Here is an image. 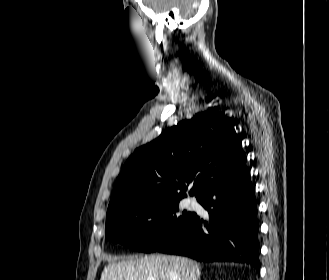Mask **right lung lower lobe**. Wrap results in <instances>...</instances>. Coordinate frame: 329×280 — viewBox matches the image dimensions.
<instances>
[{
    "label": "right lung lower lobe",
    "mask_w": 329,
    "mask_h": 280,
    "mask_svg": "<svg viewBox=\"0 0 329 280\" xmlns=\"http://www.w3.org/2000/svg\"><path fill=\"white\" fill-rule=\"evenodd\" d=\"M197 200L208 210L210 222L195 214L156 251L204 262H243L259 271L257 203L246 163L210 184Z\"/></svg>",
    "instance_id": "1"
}]
</instances>
